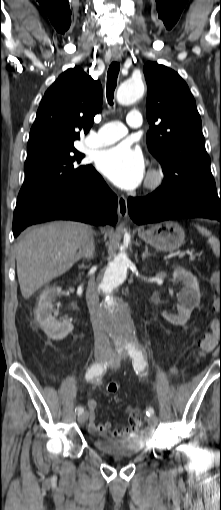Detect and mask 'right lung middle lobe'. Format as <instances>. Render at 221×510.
<instances>
[{
  "label": "right lung middle lobe",
  "mask_w": 221,
  "mask_h": 510,
  "mask_svg": "<svg viewBox=\"0 0 221 510\" xmlns=\"http://www.w3.org/2000/svg\"><path fill=\"white\" fill-rule=\"evenodd\" d=\"M84 154L74 146L43 148L27 154L25 180L14 217L22 219L43 198L78 182L91 165L81 164Z\"/></svg>",
  "instance_id": "obj_1"
}]
</instances>
